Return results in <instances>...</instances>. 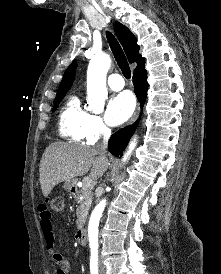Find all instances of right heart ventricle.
<instances>
[{
    "instance_id": "obj_1",
    "label": "right heart ventricle",
    "mask_w": 221,
    "mask_h": 274,
    "mask_svg": "<svg viewBox=\"0 0 221 274\" xmlns=\"http://www.w3.org/2000/svg\"><path fill=\"white\" fill-rule=\"evenodd\" d=\"M89 115L82 108L79 97L70 96L60 111V135L71 142H82L85 139V126Z\"/></svg>"
}]
</instances>
